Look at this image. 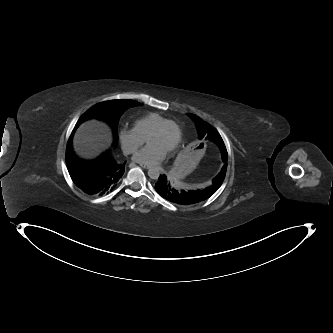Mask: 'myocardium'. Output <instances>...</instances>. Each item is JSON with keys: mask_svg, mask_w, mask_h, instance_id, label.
I'll return each mask as SVG.
<instances>
[{"mask_svg": "<svg viewBox=\"0 0 333 333\" xmlns=\"http://www.w3.org/2000/svg\"><path fill=\"white\" fill-rule=\"evenodd\" d=\"M170 126L174 127L176 129V131H177V138H176L175 142L172 144V146L168 149V152L174 151L177 148V146H178V144L180 142V127L173 120L166 121V122L162 123L161 125H159L155 130H153L149 134V136L147 137V140H149V138L151 136H153V135H157V134L163 133Z\"/></svg>", "mask_w": 333, "mask_h": 333, "instance_id": "f54148a6", "label": "myocardium"}]
</instances>
